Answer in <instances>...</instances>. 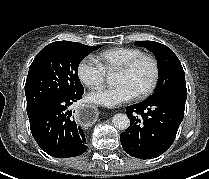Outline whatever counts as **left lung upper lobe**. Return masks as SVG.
Here are the masks:
<instances>
[{"label":"left lung upper lobe","instance_id":"1","mask_svg":"<svg viewBox=\"0 0 209 179\" xmlns=\"http://www.w3.org/2000/svg\"><path fill=\"white\" fill-rule=\"evenodd\" d=\"M136 44L150 50L158 60L159 81L149 99H155L171 91L186 89L184 70L170 48L154 41H138Z\"/></svg>","mask_w":209,"mask_h":179}]
</instances>
